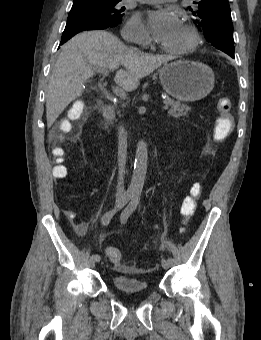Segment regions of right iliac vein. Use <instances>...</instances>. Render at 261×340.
<instances>
[{
    "instance_id": "obj_1",
    "label": "right iliac vein",
    "mask_w": 261,
    "mask_h": 340,
    "mask_svg": "<svg viewBox=\"0 0 261 340\" xmlns=\"http://www.w3.org/2000/svg\"><path fill=\"white\" fill-rule=\"evenodd\" d=\"M120 201L117 202V204H119ZM87 266L89 268H93L95 266V261L92 258H89L87 261Z\"/></svg>"
}]
</instances>
